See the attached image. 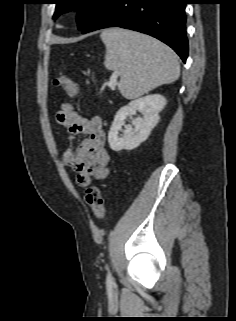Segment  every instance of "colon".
<instances>
[{"instance_id":"obj_1","label":"colon","mask_w":236,"mask_h":321,"mask_svg":"<svg viewBox=\"0 0 236 321\" xmlns=\"http://www.w3.org/2000/svg\"><path fill=\"white\" fill-rule=\"evenodd\" d=\"M53 83L55 86L61 87L70 97L77 95L76 83L64 72H60ZM85 200L96 220L102 222L105 217V205L100 187L97 185L88 186L85 192Z\"/></svg>"}]
</instances>
